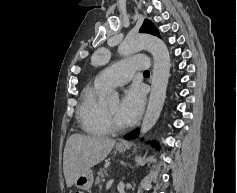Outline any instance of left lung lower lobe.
Returning a JSON list of instances; mask_svg holds the SVG:
<instances>
[{
	"instance_id": "0a47b994",
	"label": "left lung lower lobe",
	"mask_w": 237,
	"mask_h": 193,
	"mask_svg": "<svg viewBox=\"0 0 237 193\" xmlns=\"http://www.w3.org/2000/svg\"><path fill=\"white\" fill-rule=\"evenodd\" d=\"M138 132H139V130L137 129V130H135V131H133V132H130L129 134L125 135L124 138H125V139H128V140L134 139V138L137 137ZM152 144L155 146V143H152Z\"/></svg>"
}]
</instances>
